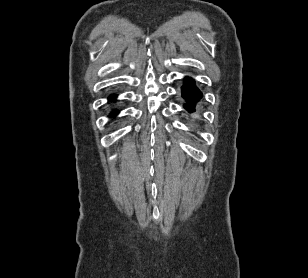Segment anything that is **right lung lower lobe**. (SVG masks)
<instances>
[{
    "mask_svg": "<svg viewBox=\"0 0 308 278\" xmlns=\"http://www.w3.org/2000/svg\"><path fill=\"white\" fill-rule=\"evenodd\" d=\"M117 97V95L113 94L110 96L109 100H114ZM116 114H118V111H113L112 113H110V116H115Z\"/></svg>",
    "mask_w": 308,
    "mask_h": 278,
    "instance_id": "1",
    "label": "right lung lower lobe"
}]
</instances>
